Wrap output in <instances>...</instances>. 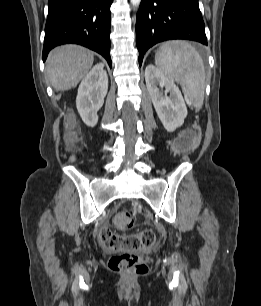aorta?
<instances>
[{
	"label": "aorta",
	"instance_id": "aorta-1",
	"mask_svg": "<svg viewBox=\"0 0 261 306\" xmlns=\"http://www.w3.org/2000/svg\"><path fill=\"white\" fill-rule=\"evenodd\" d=\"M130 2H131V4H132L133 6H139L141 0H130Z\"/></svg>",
	"mask_w": 261,
	"mask_h": 306
}]
</instances>
